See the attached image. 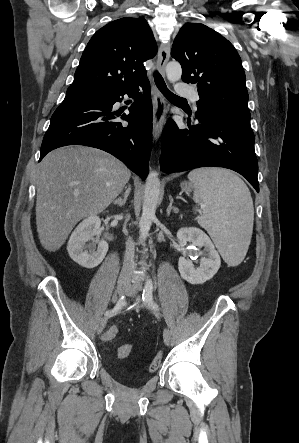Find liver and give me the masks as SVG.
<instances>
[{"instance_id":"1","label":"liver","mask_w":299,"mask_h":443,"mask_svg":"<svg viewBox=\"0 0 299 443\" xmlns=\"http://www.w3.org/2000/svg\"><path fill=\"white\" fill-rule=\"evenodd\" d=\"M130 170L101 150L70 146L41 161L36 175V226L40 243L58 250L82 218L105 210L130 179Z\"/></svg>"}]
</instances>
